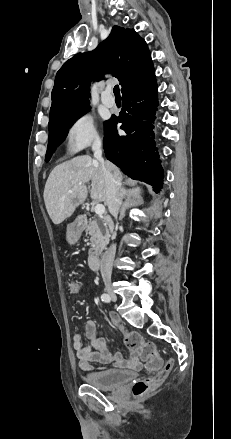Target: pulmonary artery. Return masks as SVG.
Listing matches in <instances>:
<instances>
[{
	"label": "pulmonary artery",
	"instance_id": "obj_1",
	"mask_svg": "<svg viewBox=\"0 0 231 439\" xmlns=\"http://www.w3.org/2000/svg\"><path fill=\"white\" fill-rule=\"evenodd\" d=\"M101 101L103 105H105L108 108H112L115 105L114 99L110 95V89H106L104 93L102 94Z\"/></svg>",
	"mask_w": 231,
	"mask_h": 439
}]
</instances>
